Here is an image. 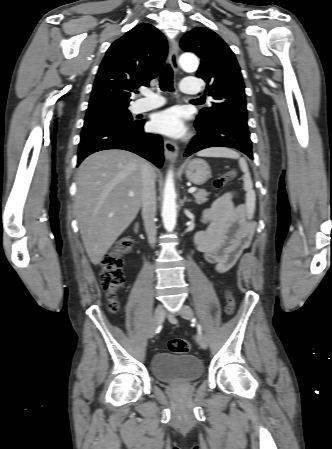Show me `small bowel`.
<instances>
[{"label":"small bowel","instance_id":"obj_1","mask_svg":"<svg viewBox=\"0 0 332 449\" xmlns=\"http://www.w3.org/2000/svg\"><path fill=\"white\" fill-rule=\"evenodd\" d=\"M233 193L217 198L202 216L205 228L197 234L198 250L218 273L230 269L251 242L255 222L248 220L243 204L233 203Z\"/></svg>","mask_w":332,"mask_h":449}]
</instances>
